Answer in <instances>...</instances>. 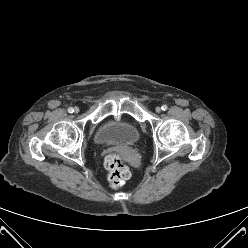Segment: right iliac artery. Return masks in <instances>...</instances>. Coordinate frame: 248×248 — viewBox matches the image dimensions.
I'll list each match as a JSON object with an SVG mask.
<instances>
[{
	"label": "right iliac artery",
	"instance_id": "82829eb1",
	"mask_svg": "<svg viewBox=\"0 0 248 248\" xmlns=\"http://www.w3.org/2000/svg\"><path fill=\"white\" fill-rule=\"evenodd\" d=\"M68 112L69 113H73L74 112V109L72 107L68 108Z\"/></svg>",
	"mask_w": 248,
	"mask_h": 248
}]
</instances>
